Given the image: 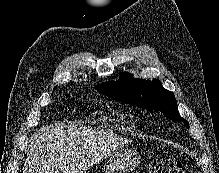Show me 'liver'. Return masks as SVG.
<instances>
[{
	"mask_svg": "<svg viewBox=\"0 0 219 173\" xmlns=\"http://www.w3.org/2000/svg\"><path fill=\"white\" fill-rule=\"evenodd\" d=\"M127 143L111 132L57 123L34 135L23 173H84Z\"/></svg>",
	"mask_w": 219,
	"mask_h": 173,
	"instance_id": "1",
	"label": "liver"
}]
</instances>
